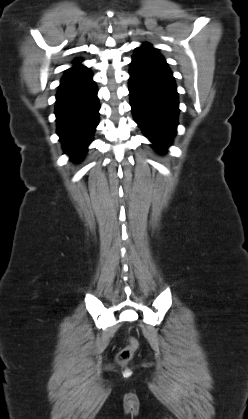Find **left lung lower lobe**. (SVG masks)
Listing matches in <instances>:
<instances>
[{
    "label": "left lung lower lobe",
    "instance_id": "1",
    "mask_svg": "<svg viewBox=\"0 0 248 419\" xmlns=\"http://www.w3.org/2000/svg\"><path fill=\"white\" fill-rule=\"evenodd\" d=\"M129 73L134 120L154 147L165 150L178 125L179 101L172 72L160 54L139 47L132 58Z\"/></svg>",
    "mask_w": 248,
    "mask_h": 419
}]
</instances>
